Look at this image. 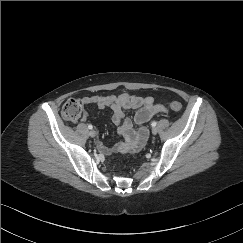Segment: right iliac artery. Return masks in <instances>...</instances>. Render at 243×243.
Returning a JSON list of instances; mask_svg holds the SVG:
<instances>
[{
	"label": "right iliac artery",
	"instance_id": "82829eb1",
	"mask_svg": "<svg viewBox=\"0 0 243 243\" xmlns=\"http://www.w3.org/2000/svg\"><path fill=\"white\" fill-rule=\"evenodd\" d=\"M93 128V126L90 124V125H88V129H92Z\"/></svg>",
	"mask_w": 243,
	"mask_h": 243
}]
</instances>
